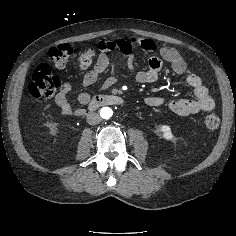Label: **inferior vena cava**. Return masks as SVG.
<instances>
[{
  "label": "inferior vena cava",
  "instance_id": "602c4592",
  "mask_svg": "<svg viewBox=\"0 0 236 236\" xmlns=\"http://www.w3.org/2000/svg\"><path fill=\"white\" fill-rule=\"evenodd\" d=\"M86 119H87L88 124H90V125H96V124L100 123V121H101L100 115L95 112H89L87 114Z\"/></svg>",
  "mask_w": 236,
  "mask_h": 236
}]
</instances>
